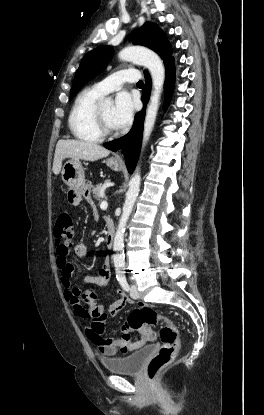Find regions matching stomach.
Wrapping results in <instances>:
<instances>
[{
    "mask_svg": "<svg viewBox=\"0 0 264 415\" xmlns=\"http://www.w3.org/2000/svg\"><path fill=\"white\" fill-rule=\"evenodd\" d=\"M106 165L114 171H120L123 165L114 158L106 160ZM62 180L72 190L73 196L69 200L70 204L76 206L79 204L80 196L90 189L92 186L86 184L85 174L82 164L79 160H68L62 169Z\"/></svg>",
    "mask_w": 264,
    "mask_h": 415,
    "instance_id": "0dacf381",
    "label": "stomach"
}]
</instances>
